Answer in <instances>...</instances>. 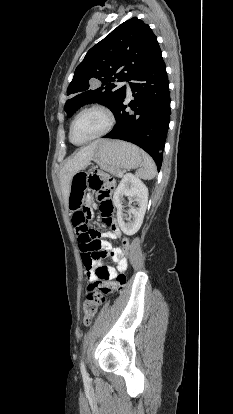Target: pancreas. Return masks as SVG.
<instances>
[{"label":"pancreas","mask_w":233,"mask_h":414,"mask_svg":"<svg viewBox=\"0 0 233 414\" xmlns=\"http://www.w3.org/2000/svg\"><path fill=\"white\" fill-rule=\"evenodd\" d=\"M110 173L117 176V177H122L123 176V174L121 173L120 170L111 171Z\"/></svg>","instance_id":"cf45deb5"}]
</instances>
